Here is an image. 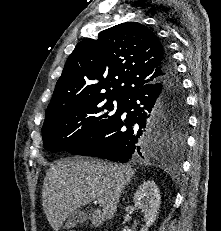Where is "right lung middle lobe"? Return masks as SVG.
<instances>
[{"label":"right lung middle lobe","mask_w":221,"mask_h":231,"mask_svg":"<svg viewBox=\"0 0 221 231\" xmlns=\"http://www.w3.org/2000/svg\"><path fill=\"white\" fill-rule=\"evenodd\" d=\"M124 100L103 95L68 102L45 118L42 127L45 149L58 152L78 146L103 129L118 114ZM152 123L154 130L166 140L169 137L183 145L187 127L186 104L163 100L153 115Z\"/></svg>","instance_id":"1"}]
</instances>
